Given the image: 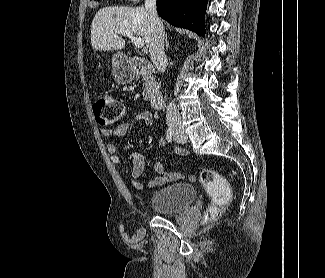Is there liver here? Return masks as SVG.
I'll return each instance as SVG.
<instances>
[{
    "label": "liver",
    "instance_id": "obj_1",
    "mask_svg": "<svg viewBox=\"0 0 325 278\" xmlns=\"http://www.w3.org/2000/svg\"><path fill=\"white\" fill-rule=\"evenodd\" d=\"M126 29L150 45L151 24L144 7H104L94 16L91 25V45L95 51L118 50L125 40L116 30Z\"/></svg>",
    "mask_w": 325,
    "mask_h": 278
}]
</instances>
